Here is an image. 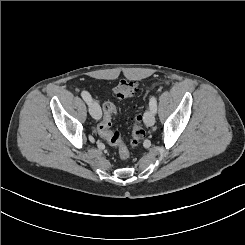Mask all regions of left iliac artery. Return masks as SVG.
Returning a JSON list of instances; mask_svg holds the SVG:
<instances>
[{"label": "left iliac artery", "instance_id": "left-iliac-artery-1", "mask_svg": "<svg viewBox=\"0 0 245 245\" xmlns=\"http://www.w3.org/2000/svg\"><path fill=\"white\" fill-rule=\"evenodd\" d=\"M150 110L156 113L157 110V100L155 96H152L149 101Z\"/></svg>", "mask_w": 245, "mask_h": 245}]
</instances>
